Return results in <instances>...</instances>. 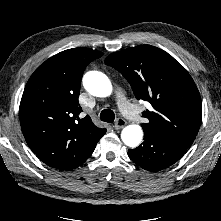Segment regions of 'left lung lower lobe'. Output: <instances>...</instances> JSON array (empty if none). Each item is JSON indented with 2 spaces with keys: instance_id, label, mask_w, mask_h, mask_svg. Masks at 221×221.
<instances>
[{
  "instance_id": "0a47b994",
  "label": "left lung lower lobe",
  "mask_w": 221,
  "mask_h": 221,
  "mask_svg": "<svg viewBox=\"0 0 221 221\" xmlns=\"http://www.w3.org/2000/svg\"><path fill=\"white\" fill-rule=\"evenodd\" d=\"M186 150L178 144L144 133V142L139 147L128 150V156L143 169L155 172L173 165Z\"/></svg>"
}]
</instances>
